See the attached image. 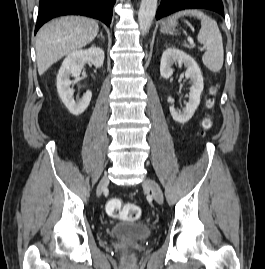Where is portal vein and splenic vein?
<instances>
[{
  "label": "portal vein and splenic vein",
  "instance_id": "1",
  "mask_svg": "<svg viewBox=\"0 0 265 269\" xmlns=\"http://www.w3.org/2000/svg\"><path fill=\"white\" fill-rule=\"evenodd\" d=\"M189 43H190L191 47L195 46V44H194V42L192 40H190ZM204 49H205L204 47L200 48L201 51H204Z\"/></svg>",
  "mask_w": 265,
  "mask_h": 269
}]
</instances>
